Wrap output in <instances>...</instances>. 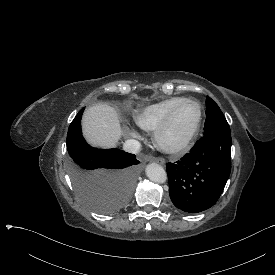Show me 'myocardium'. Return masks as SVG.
<instances>
[{
	"label": "myocardium",
	"instance_id": "1",
	"mask_svg": "<svg viewBox=\"0 0 275 275\" xmlns=\"http://www.w3.org/2000/svg\"><path fill=\"white\" fill-rule=\"evenodd\" d=\"M193 103L197 107V117L191 129L181 138L170 137L174 114L181 104ZM202 120L201 105L194 99L186 98L176 103L169 111L163 123L155 130L153 141L157 149L164 153H178L185 150L198 132Z\"/></svg>",
	"mask_w": 275,
	"mask_h": 275
}]
</instances>
